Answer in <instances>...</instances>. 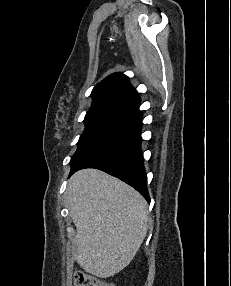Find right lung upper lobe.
Wrapping results in <instances>:
<instances>
[{
	"label": "right lung upper lobe",
	"mask_w": 231,
	"mask_h": 286,
	"mask_svg": "<svg viewBox=\"0 0 231 286\" xmlns=\"http://www.w3.org/2000/svg\"><path fill=\"white\" fill-rule=\"evenodd\" d=\"M93 106L115 105L138 110L140 99L137 92L121 73H114L101 81L92 91Z\"/></svg>",
	"instance_id": "right-lung-upper-lobe-1"
}]
</instances>
